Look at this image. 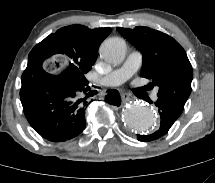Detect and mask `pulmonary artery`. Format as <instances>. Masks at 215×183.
Masks as SVG:
<instances>
[{
  "instance_id": "pulmonary-artery-1",
  "label": "pulmonary artery",
  "mask_w": 215,
  "mask_h": 183,
  "mask_svg": "<svg viewBox=\"0 0 215 183\" xmlns=\"http://www.w3.org/2000/svg\"><path fill=\"white\" fill-rule=\"evenodd\" d=\"M142 64V55L139 51H133L129 54L124 64L116 69L113 70L108 75L99 78L98 82L102 86L105 87H116L123 84L127 81L132 75H134ZM157 92L155 91L152 94V99L155 101L157 100Z\"/></svg>"
}]
</instances>
